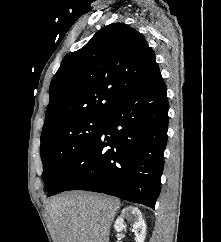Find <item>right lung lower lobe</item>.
<instances>
[{
	"label": "right lung lower lobe",
	"mask_w": 221,
	"mask_h": 242,
	"mask_svg": "<svg viewBox=\"0 0 221 242\" xmlns=\"http://www.w3.org/2000/svg\"><path fill=\"white\" fill-rule=\"evenodd\" d=\"M103 117L99 133L71 162L50 196L87 190L154 209L160 194L169 119L161 73Z\"/></svg>",
	"instance_id": "98d812e1"
}]
</instances>
